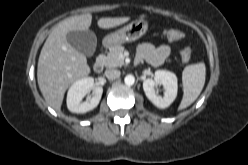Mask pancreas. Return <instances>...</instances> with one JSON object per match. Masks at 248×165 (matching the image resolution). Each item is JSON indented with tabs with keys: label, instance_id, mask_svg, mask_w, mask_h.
<instances>
[{
	"label": "pancreas",
	"instance_id": "cf45deb5",
	"mask_svg": "<svg viewBox=\"0 0 248 165\" xmlns=\"http://www.w3.org/2000/svg\"><path fill=\"white\" fill-rule=\"evenodd\" d=\"M124 47L121 45H115L109 49V53L104 56L103 62L107 68H116L124 65V60L120 58L123 54Z\"/></svg>",
	"mask_w": 248,
	"mask_h": 165
}]
</instances>
